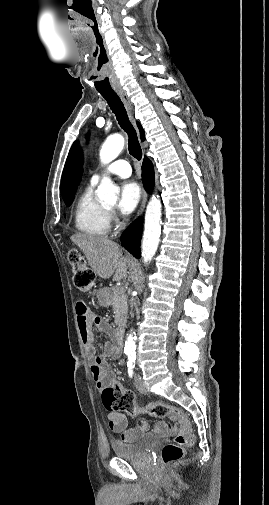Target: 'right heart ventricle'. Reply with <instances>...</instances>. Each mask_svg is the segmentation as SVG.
Wrapping results in <instances>:
<instances>
[{
    "label": "right heart ventricle",
    "instance_id": "right-heart-ventricle-1",
    "mask_svg": "<svg viewBox=\"0 0 269 505\" xmlns=\"http://www.w3.org/2000/svg\"><path fill=\"white\" fill-rule=\"evenodd\" d=\"M91 182L79 196L74 210L77 230L90 236H106L110 230L109 211L94 196Z\"/></svg>",
    "mask_w": 269,
    "mask_h": 505
}]
</instances>
